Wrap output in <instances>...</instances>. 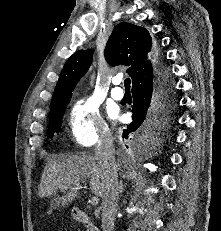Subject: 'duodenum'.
<instances>
[{"mask_svg": "<svg viewBox=\"0 0 221 231\" xmlns=\"http://www.w3.org/2000/svg\"><path fill=\"white\" fill-rule=\"evenodd\" d=\"M74 219H75V221H77L79 223L90 224L94 227V230H96V231L98 230V228L96 226L95 219L92 216L85 213L81 209L77 208L74 210Z\"/></svg>", "mask_w": 221, "mask_h": 231, "instance_id": "obj_1", "label": "duodenum"}]
</instances>
